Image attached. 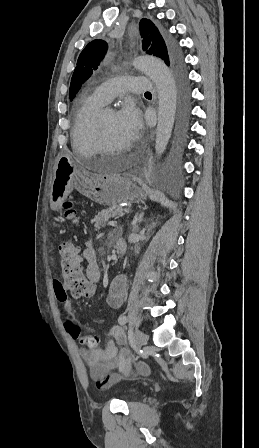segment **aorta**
Here are the masks:
<instances>
[{"mask_svg":"<svg viewBox=\"0 0 259 448\" xmlns=\"http://www.w3.org/2000/svg\"><path fill=\"white\" fill-rule=\"evenodd\" d=\"M134 65L152 79L158 91L155 150L159 155L165 151L174 126L177 107L176 83L165 63L155 57H139L134 61Z\"/></svg>","mask_w":259,"mask_h":448,"instance_id":"aorta-1","label":"aorta"}]
</instances>
